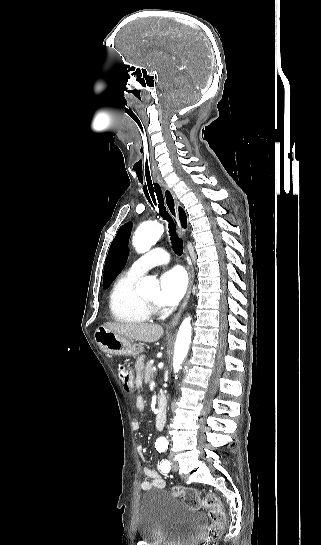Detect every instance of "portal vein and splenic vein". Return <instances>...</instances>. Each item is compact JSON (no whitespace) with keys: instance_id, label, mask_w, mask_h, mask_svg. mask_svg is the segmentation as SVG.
Segmentation results:
<instances>
[{"instance_id":"18ae733b","label":"portal vein and splenic vein","mask_w":321,"mask_h":545,"mask_svg":"<svg viewBox=\"0 0 321 545\" xmlns=\"http://www.w3.org/2000/svg\"><path fill=\"white\" fill-rule=\"evenodd\" d=\"M153 371H156V368H153Z\"/></svg>"}]
</instances>
